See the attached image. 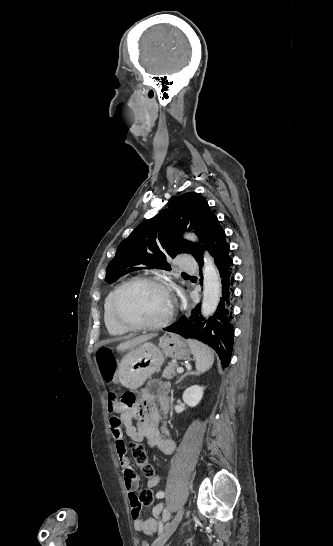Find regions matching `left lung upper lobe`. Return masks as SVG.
<instances>
[{
	"label": "left lung upper lobe",
	"instance_id": "left-lung-upper-lobe-1",
	"mask_svg": "<svg viewBox=\"0 0 333 546\" xmlns=\"http://www.w3.org/2000/svg\"><path fill=\"white\" fill-rule=\"evenodd\" d=\"M217 217L204 197L188 192L168 204L155 217L137 226L117 248L106 269L105 281L113 283L121 276L140 269L171 271L169 257L189 253L194 257L201 247L181 238L185 230H193L201 242H207Z\"/></svg>",
	"mask_w": 333,
	"mask_h": 546
}]
</instances>
